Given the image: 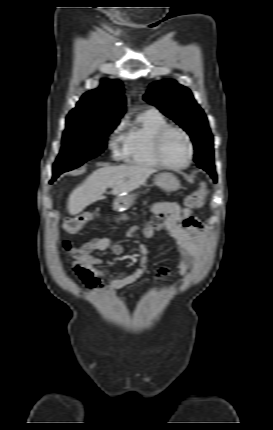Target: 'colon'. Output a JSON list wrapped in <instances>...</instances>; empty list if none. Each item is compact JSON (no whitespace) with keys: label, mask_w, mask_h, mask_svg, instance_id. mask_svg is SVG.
I'll list each match as a JSON object with an SVG mask.
<instances>
[{"label":"colon","mask_w":273,"mask_h":430,"mask_svg":"<svg viewBox=\"0 0 273 430\" xmlns=\"http://www.w3.org/2000/svg\"><path fill=\"white\" fill-rule=\"evenodd\" d=\"M207 196V189L202 186L198 191L188 194L184 199L186 211L196 210L203 206ZM96 214L93 212H85L75 217L70 218L64 225V230L68 234L77 233L83 225L92 221ZM63 248L71 255L72 259L81 258L82 254H88L89 248L87 245L73 247L68 241L62 243ZM89 256V255H88Z\"/></svg>","instance_id":"5ec220e1"}]
</instances>
